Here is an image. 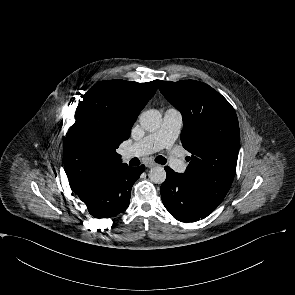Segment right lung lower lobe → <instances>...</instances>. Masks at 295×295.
Wrapping results in <instances>:
<instances>
[{
    "label": "right lung lower lobe",
    "mask_w": 295,
    "mask_h": 295,
    "mask_svg": "<svg viewBox=\"0 0 295 295\" xmlns=\"http://www.w3.org/2000/svg\"><path fill=\"white\" fill-rule=\"evenodd\" d=\"M144 170V165L122 164L102 171L84 184L77 195L93 217H114L127 209L132 186Z\"/></svg>",
    "instance_id": "98d812e1"
}]
</instances>
